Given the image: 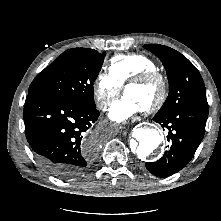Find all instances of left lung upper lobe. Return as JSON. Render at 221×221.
Listing matches in <instances>:
<instances>
[{"label":"left lung upper lobe","mask_w":221,"mask_h":221,"mask_svg":"<svg viewBox=\"0 0 221 221\" xmlns=\"http://www.w3.org/2000/svg\"><path fill=\"white\" fill-rule=\"evenodd\" d=\"M163 63L169 80V95L156 115L179 110L185 106L208 109L206 90L199 71L178 51L163 45H145Z\"/></svg>","instance_id":"left-lung-upper-lobe-1"}]
</instances>
